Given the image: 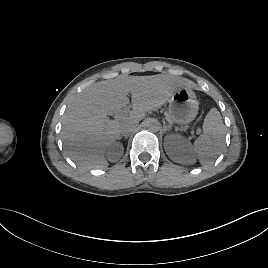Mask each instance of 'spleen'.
Masks as SVG:
<instances>
[{
  "label": "spleen",
  "instance_id": "1",
  "mask_svg": "<svg viewBox=\"0 0 268 268\" xmlns=\"http://www.w3.org/2000/svg\"><path fill=\"white\" fill-rule=\"evenodd\" d=\"M225 138V126L220 112L210 109L203 122V132L194 142V150L203 166L213 163L219 155Z\"/></svg>",
  "mask_w": 268,
  "mask_h": 268
}]
</instances>
